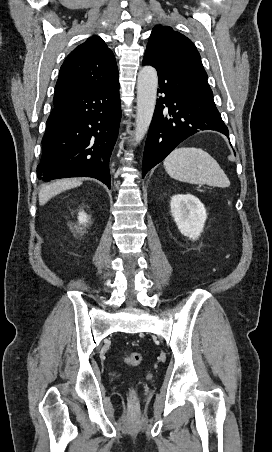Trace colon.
<instances>
[{
    "instance_id": "5ec220e1",
    "label": "colon",
    "mask_w": 272,
    "mask_h": 452,
    "mask_svg": "<svg viewBox=\"0 0 272 452\" xmlns=\"http://www.w3.org/2000/svg\"><path fill=\"white\" fill-rule=\"evenodd\" d=\"M125 363L130 366H137L142 362V354L139 352H131L126 355L125 357ZM129 400L132 405V407H135L138 402L137 394L134 390H131L129 392Z\"/></svg>"
}]
</instances>
